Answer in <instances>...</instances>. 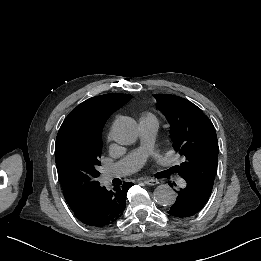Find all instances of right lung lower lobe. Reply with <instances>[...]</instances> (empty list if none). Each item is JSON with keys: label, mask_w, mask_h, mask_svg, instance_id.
Masks as SVG:
<instances>
[{"label": "right lung lower lobe", "mask_w": 261, "mask_h": 261, "mask_svg": "<svg viewBox=\"0 0 261 261\" xmlns=\"http://www.w3.org/2000/svg\"><path fill=\"white\" fill-rule=\"evenodd\" d=\"M133 183L125 182L112 190L99 184L80 199L69 202L75 217L89 226H105L116 221L125 210L126 193Z\"/></svg>", "instance_id": "98d812e1"}]
</instances>
